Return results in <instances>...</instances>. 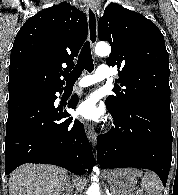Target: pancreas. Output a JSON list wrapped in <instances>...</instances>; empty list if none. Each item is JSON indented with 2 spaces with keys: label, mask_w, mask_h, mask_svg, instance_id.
<instances>
[{
  "label": "pancreas",
  "mask_w": 178,
  "mask_h": 195,
  "mask_svg": "<svg viewBox=\"0 0 178 195\" xmlns=\"http://www.w3.org/2000/svg\"><path fill=\"white\" fill-rule=\"evenodd\" d=\"M137 195H142V193H137Z\"/></svg>",
  "instance_id": "1"
}]
</instances>
